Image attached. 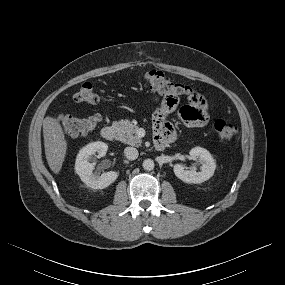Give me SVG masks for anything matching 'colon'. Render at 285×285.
<instances>
[{
	"instance_id": "colon-1",
	"label": "colon",
	"mask_w": 285,
	"mask_h": 285,
	"mask_svg": "<svg viewBox=\"0 0 285 285\" xmlns=\"http://www.w3.org/2000/svg\"><path fill=\"white\" fill-rule=\"evenodd\" d=\"M145 84L152 90L160 99L166 94H176L179 98L187 97L189 99L196 95L190 87L178 83L162 72L153 70L145 75ZM74 100L79 103L96 104L99 97L95 91L94 86L86 82L82 84L80 89L75 93ZM101 118L99 115L90 117H75L71 115H61L59 121L64 132L69 136H82L92 133ZM214 130L221 141H228L232 139L238 132V127L225 120H217L214 123Z\"/></svg>"
}]
</instances>
